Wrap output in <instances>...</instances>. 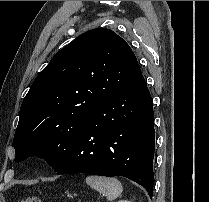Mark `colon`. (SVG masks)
<instances>
[{
	"instance_id": "5ec220e1",
	"label": "colon",
	"mask_w": 209,
	"mask_h": 202,
	"mask_svg": "<svg viewBox=\"0 0 209 202\" xmlns=\"http://www.w3.org/2000/svg\"><path fill=\"white\" fill-rule=\"evenodd\" d=\"M18 202H42V201L38 197H26L19 200Z\"/></svg>"
}]
</instances>
